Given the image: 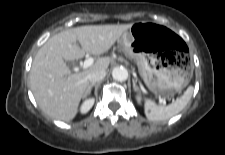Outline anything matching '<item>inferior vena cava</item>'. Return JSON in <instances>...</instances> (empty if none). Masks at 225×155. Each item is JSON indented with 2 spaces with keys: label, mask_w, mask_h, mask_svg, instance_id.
Instances as JSON below:
<instances>
[{
  "label": "inferior vena cava",
  "mask_w": 225,
  "mask_h": 155,
  "mask_svg": "<svg viewBox=\"0 0 225 155\" xmlns=\"http://www.w3.org/2000/svg\"><path fill=\"white\" fill-rule=\"evenodd\" d=\"M105 76H106L105 69H96L91 71L87 77L90 83L95 84L96 82L101 81Z\"/></svg>",
  "instance_id": "obj_1"
}]
</instances>
